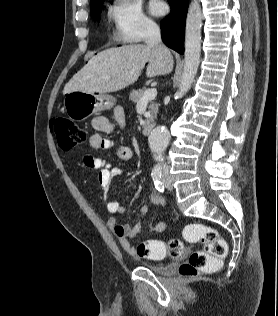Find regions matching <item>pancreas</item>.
Returning <instances> with one entry per match:
<instances>
[{"label": "pancreas", "mask_w": 278, "mask_h": 316, "mask_svg": "<svg viewBox=\"0 0 278 316\" xmlns=\"http://www.w3.org/2000/svg\"><path fill=\"white\" fill-rule=\"evenodd\" d=\"M147 90H148L147 88L133 90L130 93L129 100L132 101L133 103H138ZM158 106L159 104L154 103L151 100L149 101L148 109H149V112L151 113V116L148 119H146L145 121L146 123H150L154 120V118H156L157 113H158Z\"/></svg>", "instance_id": "1"}]
</instances>
